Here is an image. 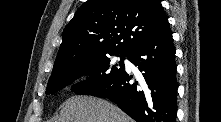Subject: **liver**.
<instances>
[{
	"instance_id": "obj_1",
	"label": "liver",
	"mask_w": 221,
	"mask_h": 122,
	"mask_svg": "<svg viewBox=\"0 0 221 122\" xmlns=\"http://www.w3.org/2000/svg\"><path fill=\"white\" fill-rule=\"evenodd\" d=\"M58 122H132V119L106 100L72 96L62 105Z\"/></svg>"
}]
</instances>
